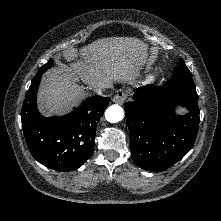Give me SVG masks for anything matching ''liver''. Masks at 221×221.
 Returning <instances> with one entry per match:
<instances>
[{
  "label": "liver",
  "instance_id": "liver-1",
  "mask_svg": "<svg viewBox=\"0 0 221 221\" xmlns=\"http://www.w3.org/2000/svg\"><path fill=\"white\" fill-rule=\"evenodd\" d=\"M148 45L134 37L98 39L68 54L70 67L46 74L38 93L39 110L45 116L64 114L86 96L76 83L80 78L90 89L114 82H129L138 75L147 58Z\"/></svg>",
  "mask_w": 221,
  "mask_h": 221
}]
</instances>
